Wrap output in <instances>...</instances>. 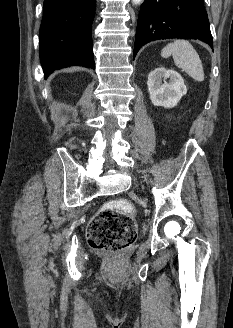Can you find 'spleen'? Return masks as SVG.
Returning <instances> with one entry per match:
<instances>
[{
	"instance_id": "3e777b00",
	"label": "spleen",
	"mask_w": 233,
	"mask_h": 328,
	"mask_svg": "<svg viewBox=\"0 0 233 328\" xmlns=\"http://www.w3.org/2000/svg\"><path fill=\"white\" fill-rule=\"evenodd\" d=\"M173 57L175 65L184 70L195 81L204 80V71L198 53L191 43L184 39L169 43L161 51L163 58Z\"/></svg>"
}]
</instances>
